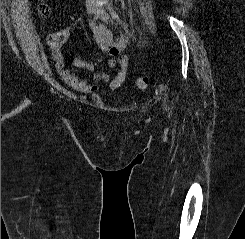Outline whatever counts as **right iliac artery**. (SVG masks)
I'll return each instance as SVG.
<instances>
[{"label":"right iliac artery","mask_w":245,"mask_h":239,"mask_svg":"<svg viewBox=\"0 0 245 239\" xmlns=\"http://www.w3.org/2000/svg\"><path fill=\"white\" fill-rule=\"evenodd\" d=\"M98 18H99L98 15H95L94 18H93V20H92V23L96 22V20H97Z\"/></svg>","instance_id":"1"}]
</instances>
